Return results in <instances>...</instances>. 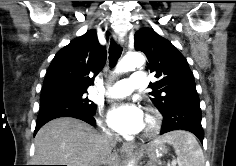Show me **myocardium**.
Instances as JSON below:
<instances>
[{
  "instance_id": "f54148a6",
  "label": "myocardium",
  "mask_w": 236,
  "mask_h": 166,
  "mask_svg": "<svg viewBox=\"0 0 236 166\" xmlns=\"http://www.w3.org/2000/svg\"><path fill=\"white\" fill-rule=\"evenodd\" d=\"M147 125L144 130V137H153L156 135L161 126V115L154 108L147 109Z\"/></svg>"
}]
</instances>
